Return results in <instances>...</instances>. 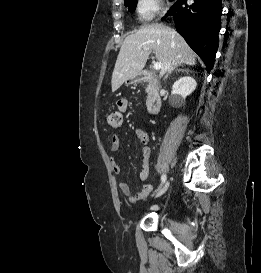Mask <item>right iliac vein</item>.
I'll list each match as a JSON object with an SVG mask.
<instances>
[{
    "label": "right iliac vein",
    "instance_id": "1",
    "mask_svg": "<svg viewBox=\"0 0 261 273\" xmlns=\"http://www.w3.org/2000/svg\"><path fill=\"white\" fill-rule=\"evenodd\" d=\"M169 185H170V182L167 181L163 185V187L157 192V194L155 195V198L162 196L167 191V189L169 188Z\"/></svg>",
    "mask_w": 261,
    "mask_h": 273
}]
</instances>
